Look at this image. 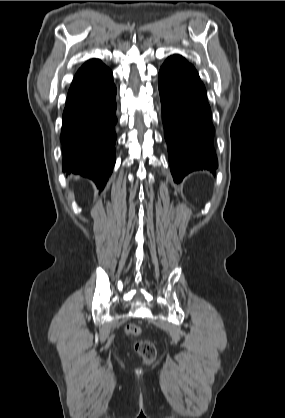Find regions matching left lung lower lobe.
<instances>
[{
  "instance_id": "obj_1",
  "label": "left lung lower lobe",
  "mask_w": 285,
  "mask_h": 418,
  "mask_svg": "<svg viewBox=\"0 0 285 418\" xmlns=\"http://www.w3.org/2000/svg\"><path fill=\"white\" fill-rule=\"evenodd\" d=\"M164 136L173 179L182 181L194 170L218 167L213 147L211 108L198 72L180 55L166 59L159 71Z\"/></svg>"
}]
</instances>
